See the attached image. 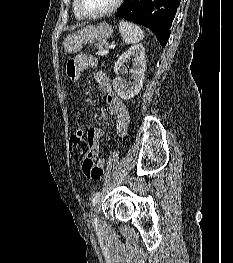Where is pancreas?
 Here are the masks:
<instances>
[{
    "mask_svg": "<svg viewBox=\"0 0 233 263\" xmlns=\"http://www.w3.org/2000/svg\"><path fill=\"white\" fill-rule=\"evenodd\" d=\"M107 46V42L106 41H101V42H98L95 47L99 50H102L104 49L105 47Z\"/></svg>",
    "mask_w": 233,
    "mask_h": 263,
    "instance_id": "cf45deb5",
    "label": "pancreas"
}]
</instances>
